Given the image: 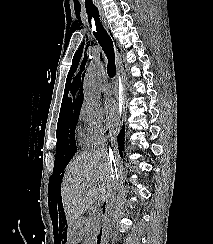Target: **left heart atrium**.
Masks as SVG:
<instances>
[{"label":"left heart atrium","instance_id":"1","mask_svg":"<svg viewBox=\"0 0 213 244\" xmlns=\"http://www.w3.org/2000/svg\"><path fill=\"white\" fill-rule=\"evenodd\" d=\"M106 118L110 125L118 122L121 115L120 103L117 99L109 98L105 101Z\"/></svg>","mask_w":213,"mask_h":244}]
</instances>
